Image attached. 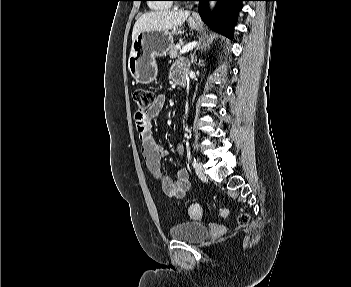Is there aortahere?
Returning a JSON list of instances; mask_svg holds the SVG:
<instances>
[{
	"label": "aorta",
	"mask_w": 351,
	"mask_h": 287,
	"mask_svg": "<svg viewBox=\"0 0 351 287\" xmlns=\"http://www.w3.org/2000/svg\"><path fill=\"white\" fill-rule=\"evenodd\" d=\"M215 4H216V2L211 1L210 4H209V5H210V8L213 9V8L215 7Z\"/></svg>",
	"instance_id": "762f6f07"
}]
</instances>
